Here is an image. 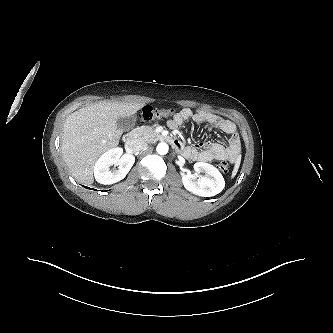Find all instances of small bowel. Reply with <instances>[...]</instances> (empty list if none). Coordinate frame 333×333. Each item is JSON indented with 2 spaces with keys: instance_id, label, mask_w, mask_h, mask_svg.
Here are the masks:
<instances>
[{
  "instance_id": "small-bowel-1",
  "label": "small bowel",
  "mask_w": 333,
  "mask_h": 333,
  "mask_svg": "<svg viewBox=\"0 0 333 333\" xmlns=\"http://www.w3.org/2000/svg\"><path fill=\"white\" fill-rule=\"evenodd\" d=\"M190 119L196 123H204L217 128L224 134L229 135V139L225 145L218 142H201L194 146H184L182 144L178 149L182 151L187 159L199 162L213 160L235 162L240 152V137L233 122L209 112H194L189 108H184L168 121V126L175 129Z\"/></svg>"
}]
</instances>
